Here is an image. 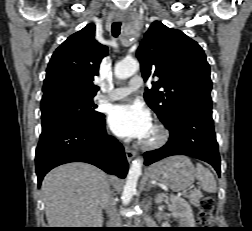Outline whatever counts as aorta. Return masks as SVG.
Here are the masks:
<instances>
[{
  "mask_svg": "<svg viewBox=\"0 0 252 231\" xmlns=\"http://www.w3.org/2000/svg\"><path fill=\"white\" fill-rule=\"evenodd\" d=\"M139 69L138 61L134 59H125L119 63H117L114 67L115 77L118 79H127L134 75L136 71ZM142 169V159H135L130 168L127 175V180L124 185L123 193H122V202L124 205L129 204L134 193L136 192L137 181L139 176L141 175Z\"/></svg>",
  "mask_w": 252,
  "mask_h": 231,
  "instance_id": "aorta-1",
  "label": "aorta"
}]
</instances>
